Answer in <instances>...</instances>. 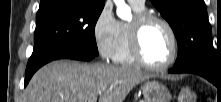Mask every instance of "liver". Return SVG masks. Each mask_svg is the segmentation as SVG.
<instances>
[{
    "label": "liver",
    "mask_w": 221,
    "mask_h": 102,
    "mask_svg": "<svg viewBox=\"0 0 221 102\" xmlns=\"http://www.w3.org/2000/svg\"><path fill=\"white\" fill-rule=\"evenodd\" d=\"M151 75L137 69L75 61H54L39 69L25 90V102H123Z\"/></svg>",
    "instance_id": "1"
}]
</instances>
